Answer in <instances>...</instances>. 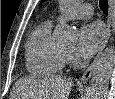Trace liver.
I'll use <instances>...</instances> for the list:
<instances>
[{"label": "liver", "mask_w": 115, "mask_h": 99, "mask_svg": "<svg viewBox=\"0 0 115 99\" xmlns=\"http://www.w3.org/2000/svg\"><path fill=\"white\" fill-rule=\"evenodd\" d=\"M72 86L71 78L59 75L23 77L13 92L16 99H68Z\"/></svg>", "instance_id": "obj_1"}]
</instances>
